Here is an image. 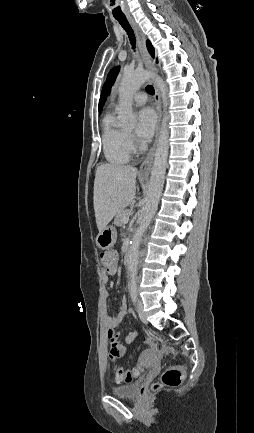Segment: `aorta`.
<instances>
[{
    "instance_id": "762f6f07",
    "label": "aorta",
    "mask_w": 254,
    "mask_h": 433,
    "mask_svg": "<svg viewBox=\"0 0 254 433\" xmlns=\"http://www.w3.org/2000/svg\"><path fill=\"white\" fill-rule=\"evenodd\" d=\"M149 79H152L155 82L160 91L164 115L160 129V136L155 152L154 163L151 170L148 200L145 206L144 216L133 236L129 252V275L132 281L136 279L138 274V249L142 240V236L156 213L160 196L163 190L167 157L169 151V130L167 115L168 89L166 83L161 77L144 70L125 72L119 85L118 117L124 125L132 126L136 123V115L134 114L132 109V96Z\"/></svg>"
}]
</instances>
